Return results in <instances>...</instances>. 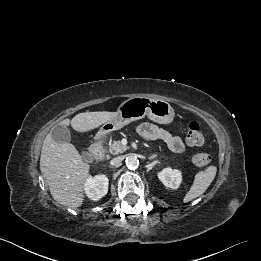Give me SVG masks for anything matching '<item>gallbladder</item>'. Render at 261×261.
Here are the masks:
<instances>
[{"label":"gallbladder","mask_w":261,"mask_h":261,"mask_svg":"<svg viewBox=\"0 0 261 261\" xmlns=\"http://www.w3.org/2000/svg\"><path fill=\"white\" fill-rule=\"evenodd\" d=\"M50 134H51L53 140L58 143H69L71 140V135H70L69 129L66 126L61 125V124L55 125L51 129ZM82 157L84 159H88L89 153L86 151L82 152Z\"/></svg>","instance_id":"gallbladder-1"}]
</instances>
